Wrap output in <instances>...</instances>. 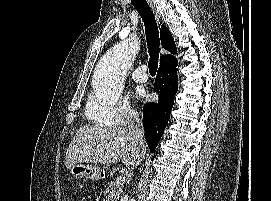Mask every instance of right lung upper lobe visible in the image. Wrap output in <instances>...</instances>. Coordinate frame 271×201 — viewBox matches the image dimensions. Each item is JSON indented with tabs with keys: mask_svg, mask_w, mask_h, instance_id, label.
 Here are the masks:
<instances>
[{
	"mask_svg": "<svg viewBox=\"0 0 271 201\" xmlns=\"http://www.w3.org/2000/svg\"><path fill=\"white\" fill-rule=\"evenodd\" d=\"M160 39H161V44L162 46L170 51L172 54L176 53V46L175 42L173 40V37L168 30V28L165 25H162L160 28ZM172 60H175V57L172 55H162L160 57V65L170 62Z\"/></svg>",
	"mask_w": 271,
	"mask_h": 201,
	"instance_id": "right-lung-upper-lobe-1",
	"label": "right lung upper lobe"
}]
</instances>
